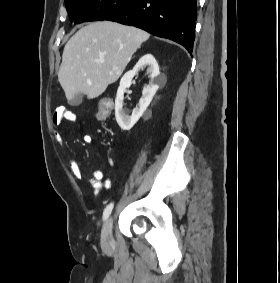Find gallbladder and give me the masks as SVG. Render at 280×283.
<instances>
[{
    "label": "gallbladder",
    "mask_w": 280,
    "mask_h": 283,
    "mask_svg": "<svg viewBox=\"0 0 280 283\" xmlns=\"http://www.w3.org/2000/svg\"><path fill=\"white\" fill-rule=\"evenodd\" d=\"M83 101V95L81 93L75 94L73 99L70 100V104L74 106H78Z\"/></svg>",
    "instance_id": "1"
}]
</instances>
